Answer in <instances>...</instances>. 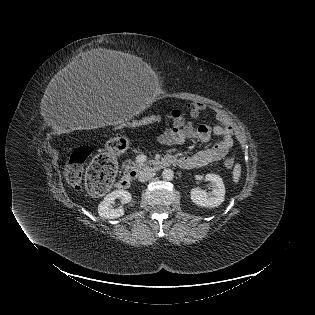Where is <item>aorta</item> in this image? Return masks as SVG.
<instances>
[{"label": "aorta", "mask_w": 315, "mask_h": 315, "mask_svg": "<svg viewBox=\"0 0 315 315\" xmlns=\"http://www.w3.org/2000/svg\"><path fill=\"white\" fill-rule=\"evenodd\" d=\"M162 177L165 180H172L174 178V172L171 169H164L162 172Z\"/></svg>", "instance_id": "obj_1"}]
</instances>
